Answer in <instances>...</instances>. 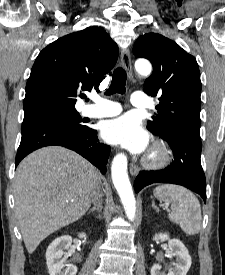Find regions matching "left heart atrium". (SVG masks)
I'll return each instance as SVG.
<instances>
[{
  "label": "left heart atrium",
  "instance_id": "39dd6f15",
  "mask_svg": "<svg viewBox=\"0 0 225 275\" xmlns=\"http://www.w3.org/2000/svg\"><path fill=\"white\" fill-rule=\"evenodd\" d=\"M103 138L135 153L143 152L148 145V135L133 115L127 114L105 122L101 130Z\"/></svg>",
  "mask_w": 225,
  "mask_h": 275
}]
</instances>
